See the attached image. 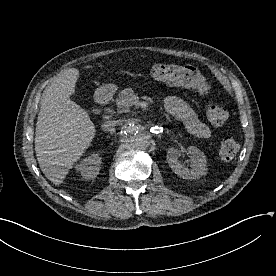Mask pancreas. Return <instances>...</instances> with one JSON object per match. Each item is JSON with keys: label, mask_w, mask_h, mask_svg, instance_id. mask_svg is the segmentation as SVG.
Here are the masks:
<instances>
[{"label": "pancreas", "mask_w": 276, "mask_h": 276, "mask_svg": "<svg viewBox=\"0 0 276 276\" xmlns=\"http://www.w3.org/2000/svg\"><path fill=\"white\" fill-rule=\"evenodd\" d=\"M134 95V90L132 88H125L120 91L118 98H116L115 102L118 107L119 112H125L129 108L130 103L129 99H131Z\"/></svg>", "instance_id": "pancreas-1"}]
</instances>
